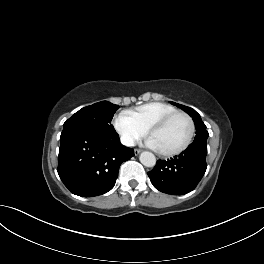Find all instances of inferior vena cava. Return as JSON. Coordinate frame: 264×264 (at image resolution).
<instances>
[{"instance_id": "obj_1", "label": "inferior vena cava", "mask_w": 264, "mask_h": 264, "mask_svg": "<svg viewBox=\"0 0 264 264\" xmlns=\"http://www.w3.org/2000/svg\"><path fill=\"white\" fill-rule=\"evenodd\" d=\"M121 143L128 147L135 145L133 138H131L130 136H122Z\"/></svg>"}]
</instances>
